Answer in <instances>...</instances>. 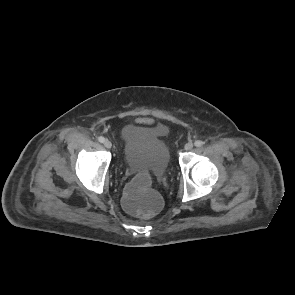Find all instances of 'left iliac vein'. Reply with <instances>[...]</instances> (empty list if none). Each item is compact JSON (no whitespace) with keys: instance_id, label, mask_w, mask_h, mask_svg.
I'll return each instance as SVG.
<instances>
[{"instance_id":"4c4485c4","label":"left iliac vein","mask_w":295,"mask_h":295,"mask_svg":"<svg viewBox=\"0 0 295 295\" xmlns=\"http://www.w3.org/2000/svg\"><path fill=\"white\" fill-rule=\"evenodd\" d=\"M185 150L189 151L193 148V143L192 142H188L185 144Z\"/></svg>"}]
</instances>
